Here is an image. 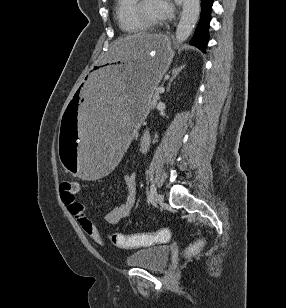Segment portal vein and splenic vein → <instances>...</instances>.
<instances>
[{"instance_id": "obj_1", "label": "portal vein and splenic vein", "mask_w": 286, "mask_h": 308, "mask_svg": "<svg viewBox=\"0 0 286 308\" xmlns=\"http://www.w3.org/2000/svg\"><path fill=\"white\" fill-rule=\"evenodd\" d=\"M164 91H165V89H164L163 87H159V88H158V92H159V93H164Z\"/></svg>"}]
</instances>
